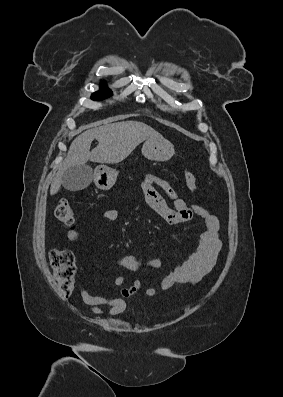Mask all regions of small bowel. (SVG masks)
Returning a JSON list of instances; mask_svg holds the SVG:
<instances>
[{
	"instance_id": "c3829d8e",
	"label": "small bowel",
	"mask_w": 283,
	"mask_h": 397,
	"mask_svg": "<svg viewBox=\"0 0 283 397\" xmlns=\"http://www.w3.org/2000/svg\"><path fill=\"white\" fill-rule=\"evenodd\" d=\"M156 186L163 190V193L156 189ZM142 190L149 207L165 223L169 225H179L190 221L193 216H197L203 223L204 230L200 235V241L196 250L182 264L172 267L158 287L146 286L144 293L154 296L159 291H164L177 283L195 284L207 275L215 266L218 255L222 249V242L219 238L220 223L218 218L211 214L204 207L197 204H188L177 196L169 184L153 175H148L142 182ZM168 199L173 202L174 207H170ZM119 217L117 209L109 208L104 210L100 221H115ZM69 241H76L80 234L77 230L71 229L67 232ZM116 265L130 272H135L141 267V263L133 255H126L117 260ZM150 268H158L162 265L159 258L151 259L145 263ZM114 285L121 287V297H106L92 295L85 284L80 287V296L95 314L101 315L103 307L108 308L110 316H118L126 309L124 298L131 297L142 288L139 280H134L129 286L125 287L126 278L117 276L113 279Z\"/></svg>"
}]
</instances>
